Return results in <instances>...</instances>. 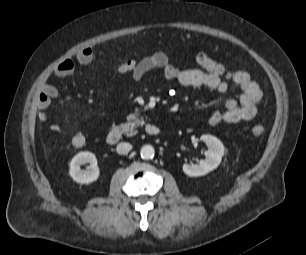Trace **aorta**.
Wrapping results in <instances>:
<instances>
[{"instance_id": "1", "label": "aorta", "mask_w": 306, "mask_h": 255, "mask_svg": "<svg viewBox=\"0 0 306 255\" xmlns=\"http://www.w3.org/2000/svg\"><path fill=\"white\" fill-rule=\"evenodd\" d=\"M140 154L143 159H152L155 154V149L151 145H144L140 150Z\"/></svg>"}]
</instances>
